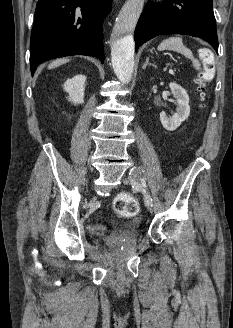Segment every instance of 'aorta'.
Returning <instances> with one entry per match:
<instances>
[{"mask_svg":"<svg viewBox=\"0 0 233 328\" xmlns=\"http://www.w3.org/2000/svg\"><path fill=\"white\" fill-rule=\"evenodd\" d=\"M144 0H127L123 5L112 34L111 60L117 78L129 83L134 68V40L132 31L143 11Z\"/></svg>","mask_w":233,"mask_h":328,"instance_id":"1","label":"aorta"}]
</instances>
